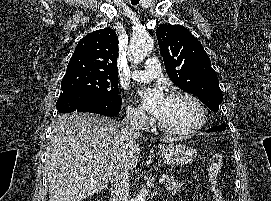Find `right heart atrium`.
Instances as JSON below:
<instances>
[{
	"mask_svg": "<svg viewBox=\"0 0 271 201\" xmlns=\"http://www.w3.org/2000/svg\"><path fill=\"white\" fill-rule=\"evenodd\" d=\"M128 120L139 128H147L149 126V118L139 107L129 106L127 108Z\"/></svg>",
	"mask_w": 271,
	"mask_h": 201,
	"instance_id": "right-heart-atrium-1",
	"label": "right heart atrium"
}]
</instances>
